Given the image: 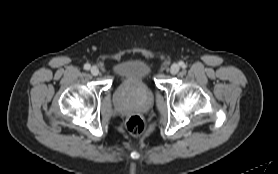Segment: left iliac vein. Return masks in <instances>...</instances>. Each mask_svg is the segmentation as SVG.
I'll use <instances>...</instances> for the list:
<instances>
[{
  "instance_id": "4c4485c4",
  "label": "left iliac vein",
  "mask_w": 278,
  "mask_h": 174,
  "mask_svg": "<svg viewBox=\"0 0 278 174\" xmlns=\"http://www.w3.org/2000/svg\"><path fill=\"white\" fill-rule=\"evenodd\" d=\"M179 69H180L179 65L174 63V64H172V66L170 68V72L172 74H177L179 72Z\"/></svg>"
}]
</instances>
